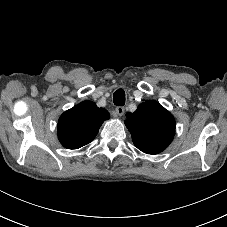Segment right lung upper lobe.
I'll return each instance as SVG.
<instances>
[{"mask_svg":"<svg viewBox=\"0 0 227 227\" xmlns=\"http://www.w3.org/2000/svg\"><path fill=\"white\" fill-rule=\"evenodd\" d=\"M109 119L104 108L94 102L84 101L65 111L58 121V139L68 149H78L90 143L102 123Z\"/></svg>","mask_w":227,"mask_h":227,"instance_id":"cb5924a9","label":"right lung upper lobe"}]
</instances>
